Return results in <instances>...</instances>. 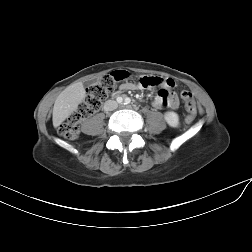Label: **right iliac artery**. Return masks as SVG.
<instances>
[{
	"instance_id": "82829eb1",
	"label": "right iliac artery",
	"mask_w": 252,
	"mask_h": 252,
	"mask_svg": "<svg viewBox=\"0 0 252 252\" xmlns=\"http://www.w3.org/2000/svg\"><path fill=\"white\" fill-rule=\"evenodd\" d=\"M117 102H118V103H122V102H123V98H122V97H118V98H117Z\"/></svg>"
}]
</instances>
